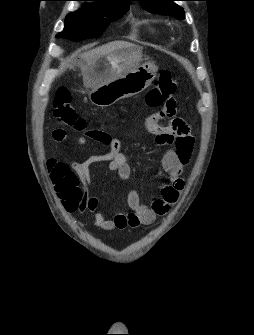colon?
<instances>
[{
	"label": "colon",
	"instance_id": "5ec220e1",
	"mask_svg": "<svg viewBox=\"0 0 254 335\" xmlns=\"http://www.w3.org/2000/svg\"><path fill=\"white\" fill-rule=\"evenodd\" d=\"M177 87L178 83L172 73L169 70H162L155 85L146 93L144 102L150 108H163L164 104H166V99L169 98L170 94H175ZM52 110L55 118L64 126L77 131L84 130L87 126L86 120L77 113L72 104L70 91L65 87H60L56 91L52 102ZM90 130H94L102 140L107 137V133L100 128ZM55 163L58 164L61 170H64L63 164L58 163V161H50L48 165L51 166ZM61 185L65 186L63 183ZM72 196L74 200L79 201L82 199L83 193L77 187Z\"/></svg>",
	"mask_w": 254,
	"mask_h": 335
}]
</instances>
